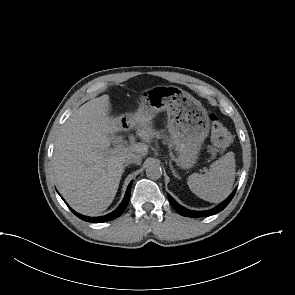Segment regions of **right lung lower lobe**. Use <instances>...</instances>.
<instances>
[{
	"label": "right lung lower lobe",
	"mask_w": 295,
	"mask_h": 295,
	"mask_svg": "<svg viewBox=\"0 0 295 295\" xmlns=\"http://www.w3.org/2000/svg\"><path fill=\"white\" fill-rule=\"evenodd\" d=\"M131 186H132V182L127 187V191H126V194H125V197H124L122 203L119 205V207L115 211H113L112 213H110L108 215H105L102 217H87V216H83L81 214H78L77 212H75L71 208L70 209L77 217H79L80 219L87 221V222L100 223V222L110 221V220L115 219L118 216H120L123 213V211L125 210V208L127 207L129 199H130Z\"/></svg>",
	"instance_id": "right-lung-lower-lobe-1"
}]
</instances>
